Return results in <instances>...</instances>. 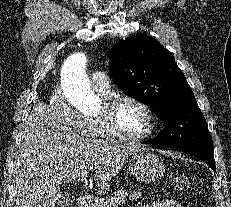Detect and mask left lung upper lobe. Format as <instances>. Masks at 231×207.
Returning a JSON list of instances; mask_svg holds the SVG:
<instances>
[{
  "instance_id": "left-lung-upper-lobe-1",
  "label": "left lung upper lobe",
  "mask_w": 231,
  "mask_h": 207,
  "mask_svg": "<svg viewBox=\"0 0 231 207\" xmlns=\"http://www.w3.org/2000/svg\"><path fill=\"white\" fill-rule=\"evenodd\" d=\"M108 57L118 87L149 105L164 122V130L152 140L157 147L213 149L206 120L170 51L156 39L138 35L116 44Z\"/></svg>"
}]
</instances>
